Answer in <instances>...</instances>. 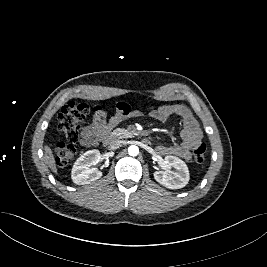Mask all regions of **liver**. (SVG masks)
I'll list each match as a JSON object with an SVG mask.
<instances>
[{
	"mask_svg": "<svg viewBox=\"0 0 267 267\" xmlns=\"http://www.w3.org/2000/svg\"><path fill=\"white\" fill-rule=\"evenodd\" d=\"M44 151H45L44 155L46 164L49 166V168L52 170L53 173L57 174V167L55 164V159L51 148L46 145L44 147Z\"/></svg>",
	"mask_w": 267,
	"mask_h": 267,
	"instance_id": "6515ba94",
	"label": "liver"
}]
</instances>
